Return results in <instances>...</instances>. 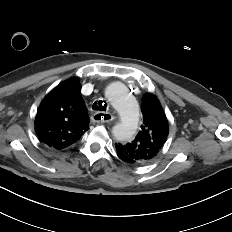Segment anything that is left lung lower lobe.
<instances>
[{"instance_id": "left-lung-lower-lobe-1", "label": "left lung lower lobe", "mask_w": 232, "mask_h": 232, "mask_svg": "<svg viewBox=\"0 0 232 232\" xmlns=\"http://www.w3.org/2000/svg\"><path fill=\"white\" fill-rule=\"evenodd\" d=\"M117 156H118L122 161L131 164V163H130V159H129L127 156L123 155L121 152L117 151Z\"/></svg>"}]
</instances>
